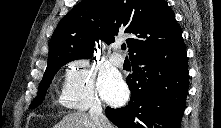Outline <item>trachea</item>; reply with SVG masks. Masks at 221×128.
Instances as JSON below:
<instances>
[{
  "label": "trachea",
  "mask_w": 221,
  "mask_h": 128,
  "mask_svg": "<svg viewBox=\"0 0 221 128\" xmlns=\"http://www.w3.org/2000/svg\"><path fill=\"white\" fill-rule=\"evenodd\" d=\"M121 48H122V50H125L126 49V44H122Z\"/></svg>",
  "instance_id": "1"
}]
</instances>
